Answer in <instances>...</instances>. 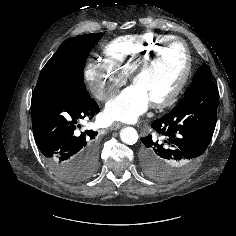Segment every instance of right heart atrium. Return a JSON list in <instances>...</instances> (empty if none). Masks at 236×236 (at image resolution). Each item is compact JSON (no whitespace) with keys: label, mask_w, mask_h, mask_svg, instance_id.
<instances>
[{"label":"right heart atrium","mask_w":236,"mask_h":236,"mask_svg":"<svg viewBox=\"0 0 236 236\" xmlns=\"http://www.w3.org/2000/svg\"><path fill=\"white\" fill-rule=\"evenodd\" d=\"M84 75L90 91L100 101H106L113 96L126 81V75L105 59L89 61Z\"/></svg>","instance_id":"right-heart-atrium-1"}]
</instances>
